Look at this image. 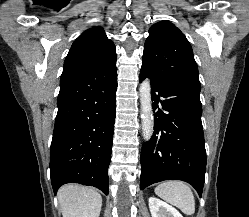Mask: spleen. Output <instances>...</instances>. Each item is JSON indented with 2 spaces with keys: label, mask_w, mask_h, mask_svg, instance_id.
<instances>
[{
  "label": "spleen",
  "mask_w": 249,
  "mask_h": 217,
  "mask_svg": "<svg viewBox=\"0 0 249 217\" xmlns=\"http://www.w3.org/2000/svg\"><path fill=\"white\" fill-rule=\"evenodd\" d=\"M155 193L167 202L177 206L184 214H194L195 198L191 188L185 182H162L155 188Z\"/></svg>",
  "instance_id": "1"
}]
</instances>
